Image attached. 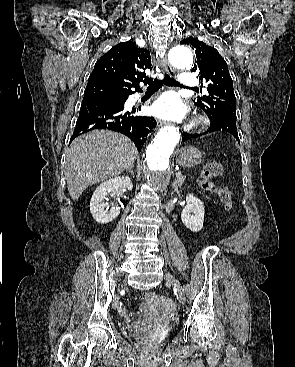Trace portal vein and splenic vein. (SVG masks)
<instances>
[{
	"label": "portal vein and splenic vein",
	"mask_w": 295,
	"mask_h": 367,
	"mask_svg": "<svg viewBox=\"0 0 295 367\" xmlns=\"http://www.w3.org/2000/svg\"><path fill=\"white\" fill-rule=\"evenodd\" d=\"M181 175L180 172H176V176L179 177Z\"/></svg>",
	"instance_id": "1"
}]
</instances>
